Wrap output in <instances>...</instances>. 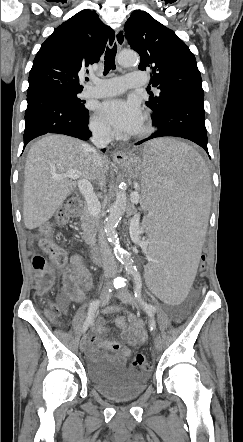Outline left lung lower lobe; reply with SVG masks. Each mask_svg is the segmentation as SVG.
Segmentation results:
<instances>
[{"mask_svg": "<svg viewBox=\"0 0 243 442\" xmlns=\"http://www.w3.org/2000/svg\"><path fill=\"white\" fill-rule=\"evenodd\" d=\"M203 103V90L178 91L167 101L164 111L158 117L152 118V123L158 130L137 145L158 137L174 136L191 140L208 153Z\"/></svg>", "mask_w": 243, "mask_h": 442, "instance_id": "obj_1", "label": "left lung lower lobe"}]
</instances>
